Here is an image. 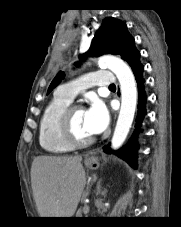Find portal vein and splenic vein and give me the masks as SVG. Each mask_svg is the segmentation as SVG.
Returning a JSON list of instances; mask_svg holds the SVG:
<instances>
[{"label": "portal vein and splenic vein", "mask_w": 181, "mask_h": 227, "mask_svg": "<svg viewBox=\"0 0 181 227\" xmlns=\"http://www.w3.org/2000/svg\"><path fill=\"white\" fill-rule=\"evenodd\" d=\"M84 208L88 211L89 210V206L85 205Z\"/></svg>", "instance_id": "18ae733b"}]
</instances>
